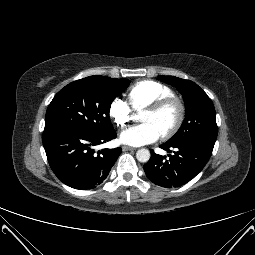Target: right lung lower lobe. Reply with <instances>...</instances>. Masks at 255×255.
<instances>
[{
	"instance_id": "98d812e1",
	"label": "right lung lower lobe",
	"mask_w": 255,
	"mask_h": 255,
	"mask_svg": "<svg viewBox=\"0 0 255 255\" xmlns=\"http://www.w3.org/2000/svg\"><path fill=\"white\" fill-rule=\"evenodd\" d=\"M116 138L115 130L94 135L78 129H56L43 132V145L51 169L64 184L80 190L92 189L108 176L121 154L120 147H93Z\"/></svg>"
}]
</instances>
